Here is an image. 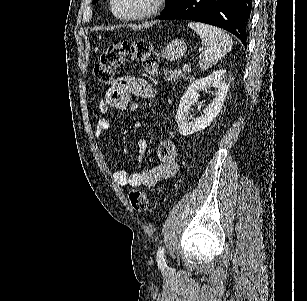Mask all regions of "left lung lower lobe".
I'll list each match as a JSON object with an SVG mask.
<instances>
[{
	"label": "left lung lower lobe",
	"mask_w": 307,
	"mask_h": 301,
	"mask_svg": "<svg viewBox=\"0 0 307 301\" xmlns=\"http://www.w3.org/2000/svg\"><path fill=\"white\" fill-rule=\"evenodd\" d=\"M252 0H179L159 17L161 20L185 19L223 28L247 46Z\"/></svg>",
	"instance_id": "obj_1"
}]
</instances>
